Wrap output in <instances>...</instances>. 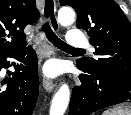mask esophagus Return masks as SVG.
<instances>
[{
	"label": "esophagus",
	"mask_w": 131,
	"mask_h": 115,
	"mask_svg": "<svg viewBox=\"0 0 131 115\" xmlns=\"http://www.w3.org/2000/svg\"><path fill=\"white\" fill-rule=\"evenodd\" d=\"M42 15L45 22H49L54 31H58L59 24L56 16V1L43 0ZM47 57L54 55V50L51 46H47ZM43 87L47 92H51L55 87V83L49 78L43 79Z\"/></svg>",
	"instance_id": "obj_1"
}]
</instances>
